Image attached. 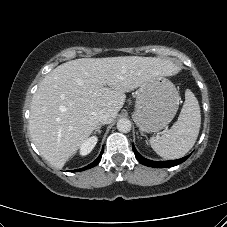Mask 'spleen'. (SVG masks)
I'll use <instances>...</instances> for the list:
<instances>
[{"mask_svg":"<svg viewBox=\"0 0 227 227\" xmlns=\"http://www.w3.org/2000/svg\"><path fill=\"white\" fill-rule=\"evenodd\" d=\"M201 124L200 107L197 98L189 89L178 120L163 135L150 138L153 150L164 159L183 157L195 144Z\"/></svg>","mask_w":227,"mask_h":227,"instance_id":"spleen-1","label":"spleen"}]
</instances>
